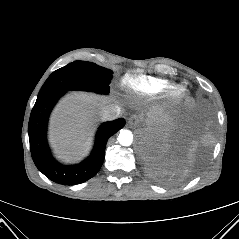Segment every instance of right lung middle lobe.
Listing matches in <instances>:
<instances>
[{"label": "right lung middle lobe", "instance_id": "right-lung-middle-lobe-1", "mask_svg": "<svg viewBox=\"0 0 239 239\" xmlns=\"http://www.w3.org/2000/svg\"><path fill=\"white\" fill-rule=\"evenodd\" d=\"M112 71L95 63L74 61L54 71L43 84L38 97L69 90L93 91L100 94L109 93Z\"/></svg>", "mask_w": 239, "mask_h": 239}]
</instances>
